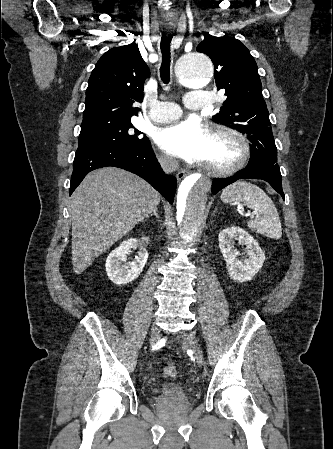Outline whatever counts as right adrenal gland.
I'll list each match as a JSON object with an SVG mask.
<instances>
[{
    "label": "right adrenal gland",
    "mask_w": 333,
    "mask_h": 449,
    "mask_svg": "<svg viewBox=\"0 0 333 449\" xmlns=\"http://www.w3.org/2000/svg\"><path fill=\"white\" fill-rule=\"evenodd\" d=\"M157 210H158V209L154 210L153 214H151L150 216H148V218H150V217H152V216H156L157 218H159V215H158V213H157Z\"/></svg>",
    "instance_id": "1"
}]
</instances>
